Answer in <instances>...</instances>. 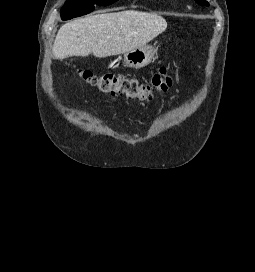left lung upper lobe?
I'll list each match as a JSON object with an SVG mask.
<instances>
[{"mask_svg": "<svg viewBox=\"0 0 255 272\" xmlns=\"http://www.w3.org/2000/svg\"><path fill=\"white\" fill-rule=\"evenodd\" d=\"M201 6H209V3L205 0H195Z\"/></svg>", "mask_w": 255, "mask_h": 272, "instance_id": "obj_1", "label": "left lung upper lobe"}]
</instances>
